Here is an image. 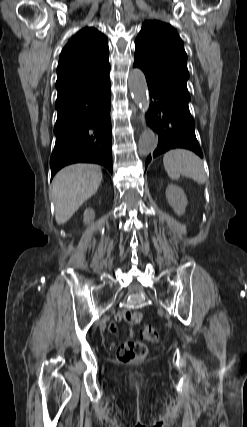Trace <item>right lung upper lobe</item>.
<instances>
[{"label": "right lung upper lobe", "instance_id": "cb5924a9", "mask_svg": "<svg viewBox=\"0 0 247 427\" xmlns=\"http://www.w3.org/2000/svg\"><path fill=\"white\" fill-rule=\"evenodd\" d=\"M107 38L95 28L80 30L63 48L57 68V98L93 87L109 77Z\"/></svg>", "mask_w": 247, "mask_h": 427}]
</instances>
